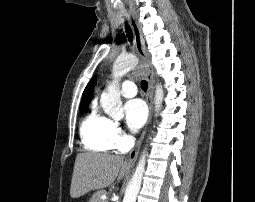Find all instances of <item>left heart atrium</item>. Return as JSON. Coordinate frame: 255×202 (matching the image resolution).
Wrapping results in <instances>:
<instances>
[{
	"mask_svg": "<svg viewBox=\"0 0 255 202\" xmlns=\"http://www.w3.org/2000/svg\"><path fill=\"white\" fill-rule=\"evenodd\" d=\"M124 109L128 127L133 131L140 129L147 119L145 103L140 99H133L125 104Z\"/></svg>",
	"mask_w": 255,
	"mask_h": 202,
	"instance_id": "left-heart-atrium-1",
	"label": "left heart atrium"
}]
</instances>
